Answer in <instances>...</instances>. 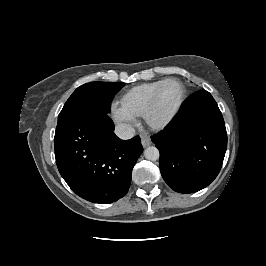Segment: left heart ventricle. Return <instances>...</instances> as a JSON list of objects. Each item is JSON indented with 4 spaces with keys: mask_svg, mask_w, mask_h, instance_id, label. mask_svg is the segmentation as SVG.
Returning a JSON list of instances; mask_svg holds the SVG:
<instances>
[{
    "mask_svg": "<svg viewBox=\"0 0 266 266\" xmlns=\"http://www.w3.org/2000/svg\"><path fill=\"white\" fill-rule=\"evenodd\" d=\"M181 97V87L176 82L166 84L158 97L157 105L153 113V120L162 122L170 116L177 107Z\"/></svg>",
    "mask_w": 266,
    "mask_h": 266,
    "instance_id": "1",
    "label": "left heart ventricle"
}]
</instances>
